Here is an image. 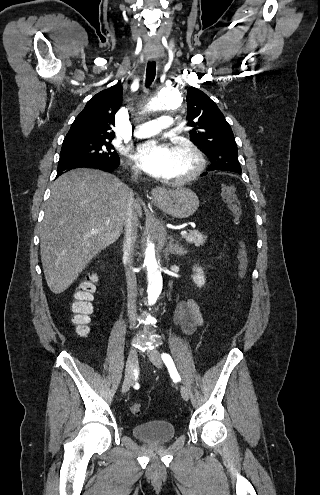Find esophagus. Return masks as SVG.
Listing matches in <instances>:
<instances>
[{"label":"esophagus","mask_w":320,"mask_h":495,"mask_svg":"<svg viewBox=\"0 0 320 495\" xmlns=\"http://www.w3.org/2000/svg\"><path fill=\"white\" fill-rule=\"evenodd\" d=\"M167 194V190L162 187L153 188L151 191V197L154 201H161Z\"/></svg>","instance_id":"34e87169"}]
</instances>
